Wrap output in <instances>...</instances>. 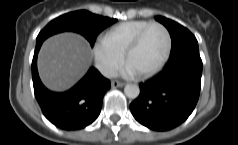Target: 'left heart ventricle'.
<instances>
[{
	"mask_svg": "<svg viewBox=\"0 0 238 145\" xmlns=\"http://www.w3.org/2000/svg\"><path fill=\"white\" fill-rule=\"evenodd\" d=\"M166 49V35L159 27L151 28L140 45L129 55L127 62L132 64L138 73L152 69L162 58Z\"/></svg>",
	"mask_w": 238,
	"mask_h": 145,
	"instance_id": "b2bd125f",
	"label": "left heart ventricle"
}]
</instances>
